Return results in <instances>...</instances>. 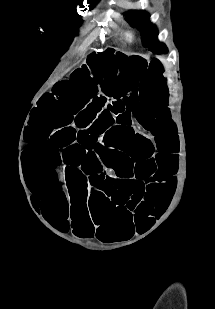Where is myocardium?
I'll return each mask as SVG.
<instances>
[{
    "instance_id": "obj_1",
    "label": "myocardium",
    "mask_w": 215,
    "mask_h": 309,
    "mask_svg": "<svg viewBox=\"0 0 215 309\" xmlns=\"http://www.w3.org/2000/svg\"><path fill=\"white\" fill-rule=\"evenodd\" d=\"M125 37H126V39H127L129 42H132V41L134 40V38H135V35H134V33H133L132 31H127V32L125 33Z\"/></svg>"
}]
</instances>
